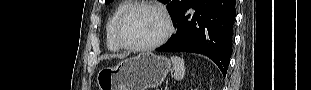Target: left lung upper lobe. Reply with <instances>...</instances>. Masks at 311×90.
<instances>
[{
	"label": "left lung upper lobe",
	"instance_id": "obj_1",
	"mask_svg": "<svg viewBox=\"0 0 311 90\" xmlns=\"http://www.w3.org/2000/svg\"><path fill=\"white\" fill-rule=\"evenodd\" d=\"M111 1L112 0H106L105 3L108 4ZM191 1L192 0H164L165 3H168L167 8L175 20H177L179 15Z\"/></svg>",
	"mask_w": 311,
	"mask_h": 90
}]
</instances>
